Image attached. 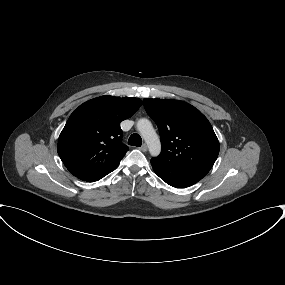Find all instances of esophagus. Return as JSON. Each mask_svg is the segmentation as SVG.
I'll return each mask as SVG.
<instances>
[{
    "instance_id": "obj_1",
    "label": "esophagus",
    "mask_w": 285,
    "mask_h": 285,
    "mask_svg": "<svg viewBox=\"0 0 285 285\" xmlns=\"http://www.w3.org/2000/svg\"><path fill=\"white\" fill-rule=\"evenodd\" d=\"M147 145L146 144H143L141 147H140V150L143 151V152H146L147 151Z\"/></svg>"
}]
</instances>
